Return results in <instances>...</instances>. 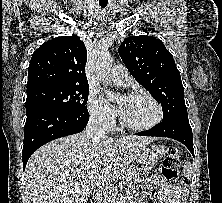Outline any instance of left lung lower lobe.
Instances as JSON below:
<instances>
[{
    "instance_id": "left-lung-lower-lobe-1",
    "label": "left lung lower lobe",
    "mask_w": 222,
    "mask_h": 203,
    "mask_svg": "<svg viewBox=\"0 0 222 203\" xmlns=\"http://www.w3.org/2000/svg\"><path fill=\"white\" fill-rule=\"evenodd\" d=\"M135 135L161 136L175 139L183 143L194 156L192 129L188 117L173 116L163 120L153 128L138 132Z\"/></svg>"
}]
</instances>
